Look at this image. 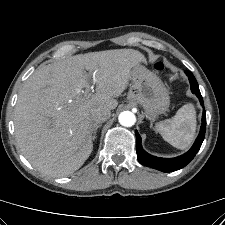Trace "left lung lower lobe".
Instances as JSON below:
<instances>
[{"label":"left lung lower lobe","instance_id":"left-lung-lower-lobe-1","mask_svg":"<svg viewBox=\"0 0 225 225\" xmlns=\"http://www.w3.org/2000/svg\"><path fill=\"white\" fill-rule=\"evenodd\" d=\"M185 73L189 78L190 85H191V91L197 95V97L200 100L201 105L204 106L203 99H202V96H201V93H200V90L198 87V83H197L195 77L188 70H185ZM205 130H206V112L204 109L200 133H199L194 145L192 146V148L184 155L176 157V158H170V159L155 157V156H152V155L148 154L147 152H145L141 145V137H140L139 133L136 131L137 158H138L139 162L141 164H143L144 166L151 167V168L160 170L162 172H172V171L179 170V169L185 167L189 162H191L192 159L194 158V156L196 155V153L199 151V149L202 145V142L204 140Z\"/></svg>","mask_w":225,"mask_h":225}]
</instances>
